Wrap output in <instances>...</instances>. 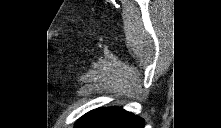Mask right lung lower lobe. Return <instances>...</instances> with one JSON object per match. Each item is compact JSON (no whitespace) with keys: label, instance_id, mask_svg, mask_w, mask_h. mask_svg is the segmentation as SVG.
<instances>
[{"label":"right lung lower lobe","instance_id":"98d812e1","mask_svg":"<svg viewBox=\"0 0 221 128\" xmlns=\"http://www.w3.org/2000/svg\"><path fill=\"white\" fill-rule=\"evenodd\" d=\"M144 120L119 107L100 108L82 116L75 128H143Z\"/></svg>","mask_w":221,"mask_h":128}]
</instances>
